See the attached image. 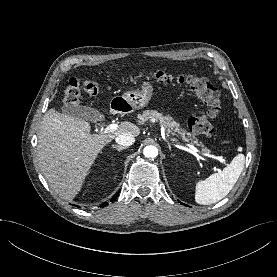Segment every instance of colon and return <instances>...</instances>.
<instances>
[{"label": "colon", "mask_w": 277, "mask_h": 277, "mask_svg": "<svg viewBox=\"0 0 277 277\" xmlns=\"http://www.w3.org/2000/svg\"><path fill=\"white\" fill-rule=\"evenodd\" d=\"M140 77L151 78L162 83H175L188 86L196 97L207 107V111L189 119V129L198 135L211 136L214 133L212 121L220 116L222 97L220 92L206 79L196 75L167 74L163 70H150L138 76H130L129 81H136ZM81 90L91 96L100 92V86L94 81L80 82L76 78L69 80L64 92V101L69 105L79 102Z\"/></svg>", "instance_id": "5ec220e1"}]
</instances>
